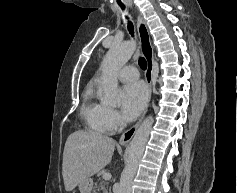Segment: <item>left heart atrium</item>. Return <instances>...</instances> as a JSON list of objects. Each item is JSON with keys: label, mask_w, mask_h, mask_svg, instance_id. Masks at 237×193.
<instances>
[{"label": "left heart atrium", "mask_w": 237, "mask_h": 193, "mask_svg": "<svg viewBox=\"0 0 237 193\" xmlns=\"http://www.w3.org/2000/svg\"><path fill=\"white\" fill-rule=\"evenodd\" d=\"M148 99V91L144 83L134 82L122 90V112L127 120H133L144 109Z\"/></svg>", "instance_id": "39dd6f15"}]
</instances>
